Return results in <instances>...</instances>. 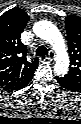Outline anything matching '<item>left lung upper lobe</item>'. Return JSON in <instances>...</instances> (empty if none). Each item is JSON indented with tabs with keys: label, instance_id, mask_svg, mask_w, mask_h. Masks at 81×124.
Masks as SVG:
<instances>
[{
	"label": "left lung upper lobe",
	"instance_id": "5c2ea615",
	"mask_svg": "<svg viewBox=\"0 0 81 124\" xmlns=\"http://www.w3.org/2000/svg\"><path fill=\"white\" fill-rule=\"evenodd\" d=\"M65 27L70 55V69L64 78L81 88V17L69 15Z\"/></svg>",
	"mask_w": 81,
	"mask_h": 124
}]
</instances>
